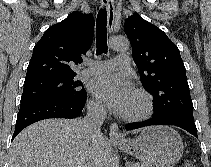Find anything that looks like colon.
I'll list each match as a JSON object with an SVG mask.
<instances>
[{"mask_svg": "<svg viewBox=\"0 0 211 167\" xmlns=\"http://www.w3.org/2000/svg\"><path fill=\"white\" fill-rule=\"evenodd\" d=\"M183 167H193V164L191 162H186Z\"/></svg>", "mask_w": 211, "mask_h": 167, "instance_id": "1", "label": "colon"}]
</instances>
